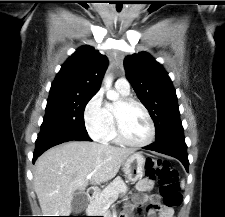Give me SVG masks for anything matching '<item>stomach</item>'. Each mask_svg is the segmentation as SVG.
<instances>
[{"instance_id":"1","label":"stomach","mask_w":225,"mask_h":217,"mask_svg":"<svg viewBox=\"0 0 225 217\" xmlns=\"http://www.w3.org/2000/svg\"><path fill=\"white\" fill-rule=\"evenodd\" d=\"M146 159L141 153L130 155L122 164V170L128 180L136 182L144 174Z\"/></svg>"}]
</instances>
